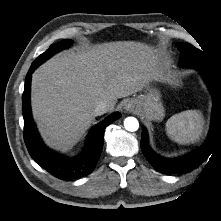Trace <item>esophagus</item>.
Here are the masks:
<instances>
[{
    "label": "esophagus",
    "instance_id": "1",
    "mask_svg": "<svg viewBox=\"0 0 221 221\" xmlns=\"http://www.w3.org/2000/svg\"><path fill=\"white\" fill-rule=\"evenodd\" d=\"M125 110L129 112H133L135 110V104L133 102H128L125 105Z\"/></svg>",
    "mask_w": 221,
    "mask_h": 221
}]
</instances>
